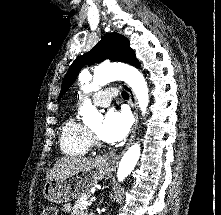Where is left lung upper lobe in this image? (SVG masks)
I'll list each match as a JSON object with an SVG mask.
<instances>
[{
  "instance_id": "5c2ea615",
  "label": "left lung upper lobe",
  "mask_w": 221,
  "mask_h": 215,
  "mask_svg": "<svg viewBox=\"0 0 221 215\" xmlns=\"http://www.w3.org/2000/svg\"><path fill=\"white\" fill-rule=\"evenodd\" d=\"M129 45L130 43L127 38L121 34L109 33L104 35L101 41H99L92 50L77 57L73 61L63 80L59 99L73 84L78 73L86 64L92 65L105 59H111L113 61L127 62L133 66L140 67V63Z\"/></svg>"
}]
</instances>
